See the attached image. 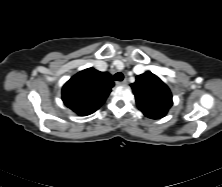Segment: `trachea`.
Listing matches in <instances>:
<instances>
[{"label":"trachea","mask_w":222,"mask_h":187,"mask_svg":"<svg viewBox=\"0 0 222 187\" xmlns=\"http://www.w3.org/2000/svg\"><path fill=\"white\" fill-rule=\"evenodd\" d=\"M124 79V75L121 72H118L114 76V80L116 81H122Z\"/></svg>","instance_id":"obj_1"}]
</instances>
